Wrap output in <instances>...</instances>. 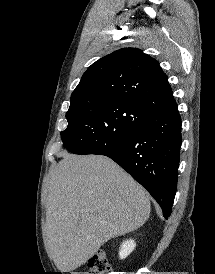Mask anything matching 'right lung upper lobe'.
Listing matches in <instances>:
<instances>
[{
    "label": "right lung upper lobe",
    "mask_w": 215,
    "mask_h": 274,
    "mask_svg": "<svg viewBox=\"0 0 215 274\" xmlns=\"http://www.w3.org/2000/svg\"><path fill=\"white\" fill-rule=\"evenodd\" d=\"M120 100L150 113L177 106L158 62L137 48L117 50L93 63L71 95V103Z\"/></svg>",
    "instance_id": "right-lung-upper-lobe-1"
}]
</instances>
